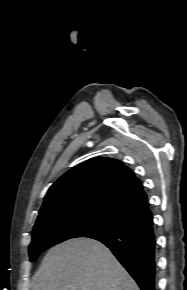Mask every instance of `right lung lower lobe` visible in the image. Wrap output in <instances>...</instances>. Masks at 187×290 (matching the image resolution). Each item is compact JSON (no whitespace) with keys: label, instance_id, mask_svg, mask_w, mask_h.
Here are the masks:
<instances>
[{"label":"right lung lower lobe","instance_id":"98d812e1","mask_svg":"<svg viewBox=\"0 0 187 290\" xmlns=\"http://www.w3.org/2000/svg\"><path fill=\"white\" fill-rule=\"evenodd\" d=\"M152 214L88 236L105 244L141 290H156V240Z\"/></svg>","mask_w":187,"mask_h":290}]
</instances>
